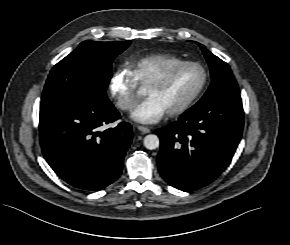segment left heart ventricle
<instances>
[{
    "label": "left heart ventricle",
    "mask_w": 290,
    "mask_h": 245,
    "mask_svg": "<svg viewBox=\"0 0 290 245\" xmlns=\"http://www.w3.org/2000/svg\"><path fill=\"white\" fill-rule=\"evenodd\" d=\"M202 80L200 68L185 67L173 72L163 85L146 87L144 94L157 99L168 112L185 103L199 88Z\"/></svg>",
    "instance_id": "obj_1"
}]
</instances>
